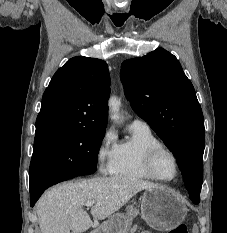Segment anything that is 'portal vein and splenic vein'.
<instances>
[{
  "instance_id": "1",
  "label": "portal vein and splenic vein",
  "mask_w": 227,
  "mask_h": 233,
  "mask_svg": "<svg viewBox=\"0 0 227 233\" xmlns=\"http://www.w3.org/2000/svg\"><path fill=\"white\" fill-rule=\"evenodd\" d=\"M95 202L94 201H88L85 203L86 207H91Z\"/></svg>"
}]
</instances>
